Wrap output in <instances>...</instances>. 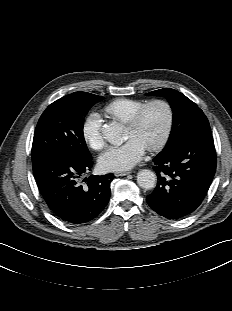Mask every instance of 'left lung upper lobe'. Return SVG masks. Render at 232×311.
<instances>
[{
    "label": "left lung upper lobe",
    "mask_w": 232,
    "mask_h": 311,
    "mask_svg": "<svg viewBox=\"0 0 232 311\" xmlns=\"http://www.w3.org/2000/svg\"><path fill=\"white\" fill-rule=\"evenodd\" d=\"M146 95L166 97L173 110L172 131L165 148L181 141L196 130L209 127V122L203 111L179 91L164 88L152 91Z\"/></svg>",
    "instance_id": "5c2ea615"
}]
</instances>
